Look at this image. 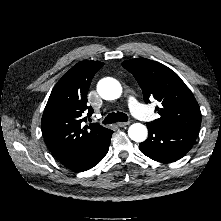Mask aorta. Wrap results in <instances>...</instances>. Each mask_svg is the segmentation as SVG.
Wrapping results in <instances>:
<instances>
[{
	"label": "aorta",
	"mask_w": 221,
	"mask_h": 221,
	"mask_svg": "<svg viewBox=\"0 0 221 221\" xmlns=\"http://www.w3.org/2000/svg\"><path fill=\"white\" fill-rule=\"evenodd\" d=\"M98 94L105 100L118 99L122 94L121 84L113 78H103L97 84ZM129 137L135 142H143L146 140L148 130L141 123H134L128 129Z\"/></svg>",
	"instance_id": "762f6f07"
}]
</instances>
